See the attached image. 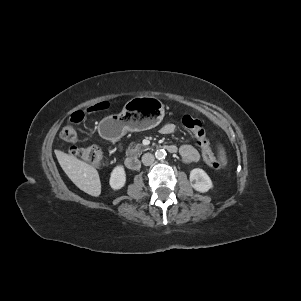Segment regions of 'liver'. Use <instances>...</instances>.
Instances as JSON below:
<instances>
[{
  "instance_id": "obj_1",
  "label": "liver",
  "mask_w": 301,
  "mask_h": 301,
  "mask_svg": "<svg viewBox=\"0 0 301 301\" xmlns=\"http://www.w3.org/2000/svg\"><path fill=\"white\" fill-rule=\"evenodd\" d=\"M55 154L63 171L79 189L91 196L100 195L101 182L93 166L60 150H55Z\"/></svg>"
}]
</instances>
